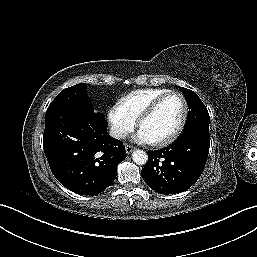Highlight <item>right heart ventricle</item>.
I'll use <instances>...</instances> for the list:
<instances>
[{
    "instance_id": "1",
    "label": "right heart ventricle",
    "mask_w": 257,
    "mask_h": 257,
    "mask_svg": "<svg viewBox=\"0 0 257 257\" xmlns=\"http://www.w3.org/2000/svg\"><path fill=\"white\" fill-rule=\"evenodd\" d=\"M171 90L166 88H144L129 92L120 99V104L128 114L137 120L143 111L158 97Z\"/></svg>"
}]
</instances>
